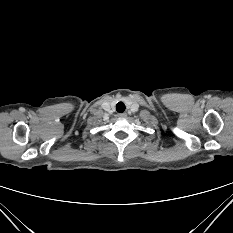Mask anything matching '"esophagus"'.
Listing matches in <instances>:
<instances>
[{
    "label": "esophagus",
    "instance_id": "obj_1",
    "mask_svg": "<svg viewBox=\"0 0 233 233\" xmlns=\"http://www.w3.org/2000/svg\"><path fill=\"white\" fill-rule=\"evenodd\" d=\"M126 116H127L126 113H119V114H118V117H119V118H125Z\"/></svg>",
    "mask_w": 233,
    "mask_h": 233
}]
</instances>
